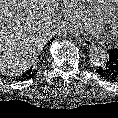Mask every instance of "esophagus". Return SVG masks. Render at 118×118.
Listing matches in <instances>:
<instances>
[{
    "instance_id": "34e87169",
    "label": "esophagus",
    "mask_w": 118,
    "mask_h": 118,
    "mask_svg": "<svg viewBox=\"0 0 118 118\" xmlns=\"http://www.w3.org/2000/svg\"><path fill=\"white\" fill-rule=\"evenodd\" d=\"M77 41H79L80 44L87 46V47H91L92 45H94L93 41L89 38L78 37Z\"/></svg>"
}]
</instances>
